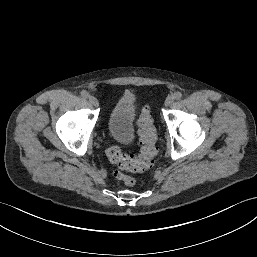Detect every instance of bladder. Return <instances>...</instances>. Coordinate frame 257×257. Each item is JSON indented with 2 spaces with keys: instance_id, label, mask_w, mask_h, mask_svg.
<instances>
[{
  "instance_id": "obj_1",
  "label": "bladder",
  "mask_w": 257,
  "mask_h": 257,
  "mask_svg": "<svg viewBox=\"0 0 257 257\" xmlns=\"http://www.w3.org/2000/svg\"><path fill=\"white\" fill-rule=\"evenodd\" d=\"M138 105L137 96L131 92L123 93L114 104L107 120V129L117 141L127 142L133 137Z\"/></svg>"
}]
</instances>
